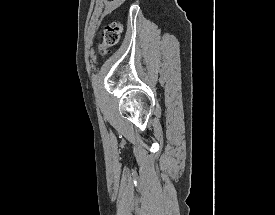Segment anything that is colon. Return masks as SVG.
Listing matches in <instances>:
<instances>
[{
  "label": "colon",
  "instance_id": "1",
  "mask_svg": "<svg viewBox=\"0 0 275 215\" xmlns=\"http://www.w3.org/2000/svg\"><path fill=\"white\" fill-rule=\"evenodd\" d=\"M120 34L121 25L118 22H110L103 27L99 45L102 54L108 53V49L118 43Z\"/></svg>",
  "mask_w": 275,
  "mask_h": 215
}]
</instances>
